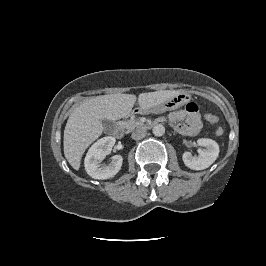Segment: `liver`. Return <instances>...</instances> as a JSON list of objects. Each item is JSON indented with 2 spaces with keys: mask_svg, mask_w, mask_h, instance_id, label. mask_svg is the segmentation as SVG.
<instances>
[{
  "mask_svg": "<svg viewBox=\"0 0 266 266\" xmlns=\"http://www.w3.org/2000/svg\"><path fill=\"white\" fill-rule=\"evenodd\" d=\"M179 93L175 90L141 93L138 103L146 111ZM136 99L133 94L101 95L88 98L73 110L64 130V155L75 170H79L87 147L102 134V120L116 121L129 116Z\"/></svg>",
  "mask_w": 266,
  "mask_h": 266,
  "instance_id": "6515ba94",
  "label": "liver"
}]
</instances>
